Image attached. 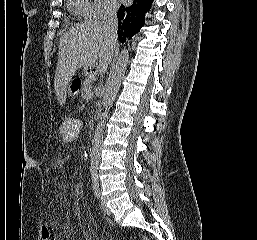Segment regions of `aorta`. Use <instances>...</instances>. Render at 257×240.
<instances>
[{
    "instance_id": "1",
    "label": "aorta",
    "mask_w": 257,
    "mask_h": 240,
    "mask_svg": "<svg viewBox=\"0 0 257 240\" xmlns=\"http://www.w3.org/2000/svg\"><path fill=\"white\" fill-rule=\"evenodd\" d=\"M128 59L129 53L128 50L124 47V49H122L120 53L116 67L112 73L111 79L108 84V99L106 101L105 112L102 114L101 121L98 123L94 133L92 149L90 152V172L92 180L94 181L97 180L98 177V169L100 163V148L103 141V133L105 128L104 122L119 92L127 68Z\"/></svg>"
}]
</instances>
